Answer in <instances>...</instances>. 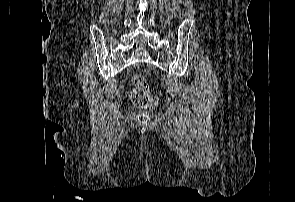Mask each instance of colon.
<instances>
[{"label":"colon","mask_w":295,"mask_h":202,"mask_svg":"<svg viewBox=\"0 0 295 202\" xmlns=\"http://www.w3.org/2000/svg\"><path fill=\"white\" fill-rule=\"evenodd\" d=\"M132 84L131 100L136 107L144 109L157 103V98L149 94L148 82L142 75H134Z\"/></svg>","instance_id":"1"}]
</instances>
